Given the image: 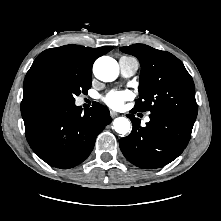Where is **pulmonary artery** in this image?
Wrapping results in <instances>:
<instances>
[{"instance_id":"e3ab8cb5","label":"pulmonary artery","mask_w":221,"mask_h":221,"mask_svg":"<svg viewBox=\"0 0 221 221\" xmlns=\"http://www.w3.org/2000/svg\"><path fill=\"white\" fill-rule=\"evenodd\" d=\"M119 67L121 75L127 78L133 76L137 72L139 63L133 57L122 56L119 59ZM148 120L149 118L147 117L146 121Z\"/></svg>"}]
</instances>
